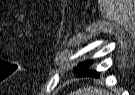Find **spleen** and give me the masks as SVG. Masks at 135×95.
I'll list each match as a JSON object with an SVG mask.
<instances>
[{
    "label": "spleen",
    "mask_w": 135,
    "mask_h": 95,
    "mask_svg": "<svg viewBox=\"0 0 135 95\" xmlns=\"http://www.w3.org/2000/svg\"><path fill=\"white\" fill-rule=\"evenodd\" d=\"M71 95H107L105 90H98L96 87H83L76 90Z\"/></svg>",
    "instance_id": "1"
}]
</instances>
